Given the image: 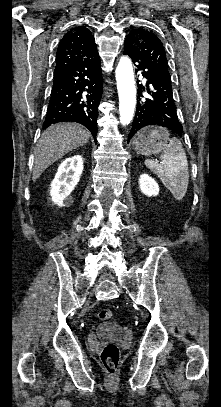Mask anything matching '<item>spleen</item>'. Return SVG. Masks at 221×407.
I'll return each instance as SVG.
<instances>
[{"instance_id":"1","label":"spleen","mask_w":221,"mask_h":407,"mask_svg":"<svg viewBox=\"0 0 221 407\" xmlns=\"http://www.w3.org/2000/svg\"><path fill=\"white\" fill-rule=\"evenodd\" d=\"M160 159V163L147 159L145 165L160 178L175 199H183L188 188L189 172L181 141L171 138Z\"/></svg>"}]
</instances>
